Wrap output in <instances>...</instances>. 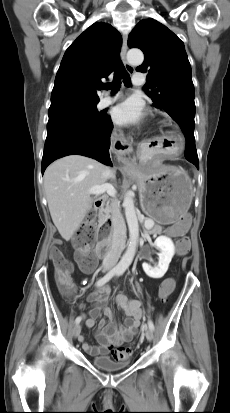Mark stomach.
Listing matches in <instances>:
<instances>
[{
	"label": "stomach",
	"mask_w": 230,
	"mask_h": 413,
	"mask_svg": "<svg viewBox=\"0 0 230 413\" xmlns=\"http://www.w3.org/2000/svg\"><path fill=\"white\" fill-rule=\"evenodd\" d=\"M140 204L144 213L159 224L167 225L185 215L193 190L189 176L171 166H158L137 173Z\"/></svg>",
	"instance_id": "1"
}]
</instances>
